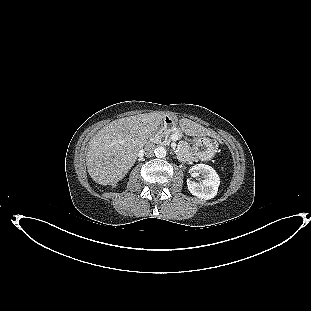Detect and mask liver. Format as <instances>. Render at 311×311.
<instances>
[{"instance_id": "1", "label": "liver", "mask_w": 311, "mask_h": 311, "mask_svg": "<svg viewBox=\"0 0 311 311\" xmlns=\"http://www.w3.org/2000/svg\"><path fill=\"white\" fill-rule=\"evenodd\" d=\"M164 113H146L111 122L90 140L86 165L91 178L100 185H112L122 180L136 162L138 152L158 129ZM182 129L191 135H205V128L183 118Z\"/></svg>"}]
</instances>
